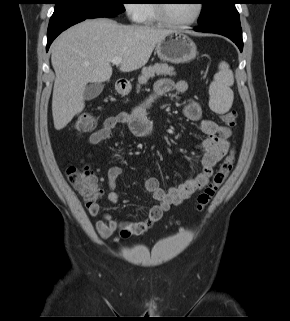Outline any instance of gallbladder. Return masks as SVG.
<instances>
[{"instance_id":"obj_1","label":"gallbladder","mask_w":290,"mask_h":321,"mask_svg":"<svg viewBox=\"0 0 290 321\" xmlns=\"http://www.w3.org/2000/svg\"><path fill=\"white\" fill-rule=\"evenodd\" d=\"M104 89V85L102 83H93L87 85L84 91V99L92 100L98 97Z\"/></svg>"}]
</instances>
